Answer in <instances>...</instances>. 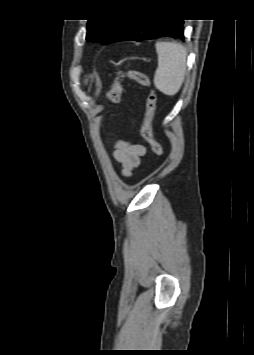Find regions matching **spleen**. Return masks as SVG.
<instances>
[{
	"label": "spleen",
	"mask_w": 254,
	"mask_h": 355,
	"mask_svg": "<svg viewBox=\"0 0 254 355\" xmlns=\"http://www.w3.org/2000/svg\"><path fill=\"white\" fill-rule=\"evenodd\" d=\"M158 67L154 75L155 87L173 96L181 88L186 73L187 51L175 42H157Z\"/></svg>",
	"instance_id": "obj_1"
}]
</instances>
